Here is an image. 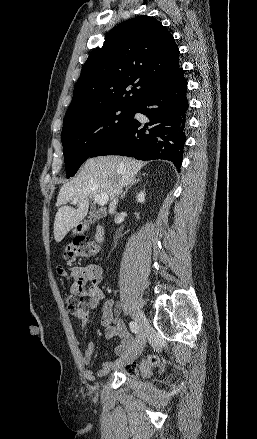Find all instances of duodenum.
Returning <instances> with one entry per match:
<instances>
[{
    "label": "duodenum",
    "mask_w": 257,
    "mask_h": 439,
    "mask_svg": "<svg viewBox=\"0 0 257 439\" xmlns=\"http://www.w3.org/2000/svg\"><path fill=\"white\" fill-rule=\"evenodd\" d=\"M103 234H104L103 229L101 227H98L96 229V232H95V240H96V242L100 243L102 241Z\"/></svg>",
    "instance_id": "duodenum-1"
}]
</instances>
